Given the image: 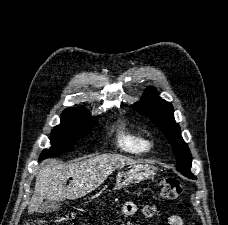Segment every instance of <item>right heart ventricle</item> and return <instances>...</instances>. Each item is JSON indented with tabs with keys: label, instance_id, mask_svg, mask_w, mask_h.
<instances>
[{
	"label": "right heart ventricle",
	"instance_id": "obj_1",
	"mask_svg": "<svg viewBox=\"0 0 228 225\" xmlns=\"http://www.w3.org/2000/svg\"><path fill=\"white\" fill-rule=\"evenodd\" d=\"M151 146L149 138L139 132L121 130L116 138L117 149L127 154H142L148 152Z\"/></svg>",
	"mask_w": 228,
	"mask_h": 225
}]
</instances>
